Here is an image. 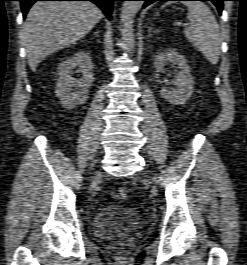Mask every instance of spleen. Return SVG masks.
<instances>
[{
	"label": "spleen",
	"instance_id": "obj_1",
	"mask_svg": "<svg viewBox=\"0 0 247 265\" xmlns=\"http://www.w3.org/2000/svg\"><path fill=\"white\" fill-rule=\"evenodd\" d=\"M165 3L162 7L169 5ZM188 8L189 27L184 29V36L215 65L219 61L221 38L219 26L209 7L201 1H184Z\"/></svg>",
	"mask_w": 247,
	"mask_h": 265
}]
</instances>
